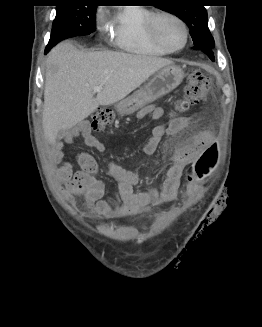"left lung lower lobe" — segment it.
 Segmentation results:
<instances>
[{"instance_id": "obj_1", "label": "left lung lower lobe", "mask_w": 262, "mask_h": 327, "mask_svg": "<svg viewBox=\"0 0 262 327\" xmlns=\"http://www.w3.org/2000/svg\"><path fill=\"white\" fill-rule=\"evenodd\" d=\"M201 51L204 52L205 54H207L209 56V58L214 61L213 48L204 49Z\"/></svg>"}]
</instances>
